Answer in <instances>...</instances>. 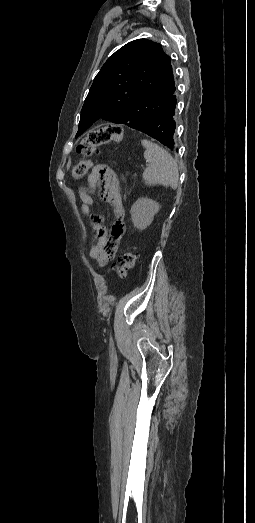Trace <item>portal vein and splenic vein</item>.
Returning a JSON list of instances; mask_svg holds the SVG:
<instances>
[{
  "mask_svg": "<svg viewBox=\"0 0 255 523\" xmlns=\"http://www.w3.org/2000/svg\"><path fill=\"white\" fill-rule=\"evenodd\" d=\"M142 166H147V161H142Z\"/></svg>",
  "mask_w": 255,
  "mask_h": 523,
  "instance_id": "1",
  "label": "portal vein and splenic vein"
}]
</instances>
